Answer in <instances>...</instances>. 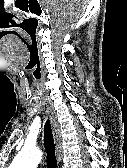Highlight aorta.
<instances>
[{"mask_svg":"<svg viewBox=\"0 0 127 168\" xmlns=\"http://www.w3.org/2000/svg\"><path fill=\"white\" fill-rule=\"evenodd\" d=\"M42 159V153L36 148L24 147L9 168H36Z\"/></svg>","mask_w":127,"mask_h":168,"instance_id":"obj_1","label":"aorta"}]
</instances>
